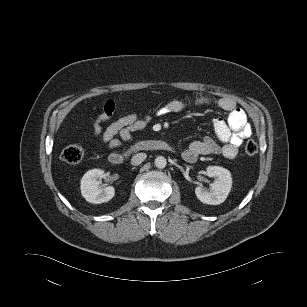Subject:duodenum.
I'll return each instance as SVG.
<instances>
[{
    "label": "duodenum",
    "mask_w": 307,
    "mask_h": 307,
    "mask_svg": "<svg viewBox=\"0 0 307 307\" xmlns=\"http://www.w3.org/2000/svg\"><path fill=\"white\" fill-rule=\"evenodd\" d=\"M169 148V145L162 140H144L133 144L124 152L111 153L109 155V161L113 166H121L132 154L138 152L168 150Z\"/></svg>",
    "instance_id": "410a0bca"
}]
</instances>
